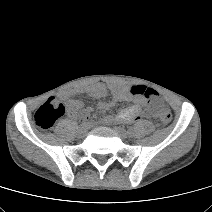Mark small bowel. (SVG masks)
Wrapping results in <instances>:
<instances>
[{"label": "small bowel", "instance_id": "small-bowel-1", "mask_svg": "<svg viewBox=\"0 0 212 212\" xmlns=\"http://www.w3.org/2000/svg\"><path fill=\"white\" fill-rule=\"evenodd\" d=\"M86 95L103 99L108 94H111L110 101H101L98 107L101 110H110L118 101L130 102L131 104L121 110L115 117L119 122H132L139 121L143 116H155L157 113L154 109L146 106V101L142 96L132 95L130 89L119 85L106 86L104 83L99 82L87 86L81 90ZM68 117L73 120H86L91 114L90 107H84V102L78 98H69L67 100ZM82 111H79L81 110ZM104 121H110L109 117L104 118Z\"/></svg>", "mask_w": 212, "mask_h": 212}]
</instances>
